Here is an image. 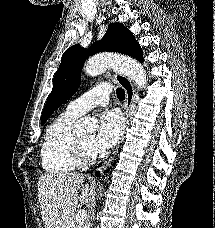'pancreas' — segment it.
I'll return each instance as SVG.
<instances>
[{"label":"pancreas","instance_id":"cf45deb5","mask_svg":"<svg viewBox=\"0 0 215 228\" xmlns=\"http://www.w3.org/2000/svg\"><path fill=\"white\" fill-rule=\"evenodd\" d=\"M74 228H82V226H76V224L74 222Z\"/></svg>","mask_w":215,"mask_h":228}]
</instances>
